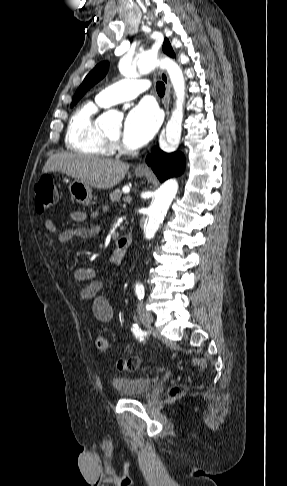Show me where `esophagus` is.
<instances>
[{
  "label": "esophagus",
  "mask_w": 287,
  "mask_h": 486,
  "mask_svg": "<svg viewBox=\"0 0 287 486\" xmlns=\"http://www.w3.org/2000/svg\"><path fill=\"white\" fill-rule=\"evenodd\" d=\"M160 77L165 85V88H166V92H165V96L163 98V105H164V109H165V113H166V119L168 118L169 116V103H170V93H171V87H170V82H169V78H168V75L166 74L165 71H161L160 72ZM136 171H139V172H147L149 171V167L147 166V164L145 162L143 163H140L136 166Z\"/></svg>",
  "instance_id": "esophagus-1"
}]
</instances>
